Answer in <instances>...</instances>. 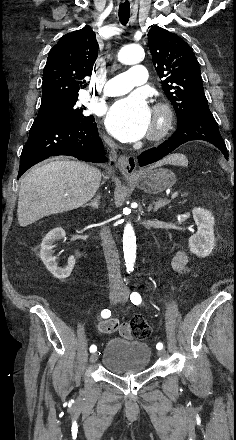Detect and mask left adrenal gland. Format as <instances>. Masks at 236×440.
Instances as JSON below:
<instances>
[{"instance_id":"obj_1","label":"left adrenal gland","mask_w":236,"mask_h":440,"mask_svg":"<svg viewBox=\"0 0 236 440\" xmlns=\"http://www.w3.org/2000/svg\"><path fill=\"white\" fill-rule=\"evenodd\" d=\"M169 203H170V200L157 199V201L154 202V207H153V204H150L149 210H151L153 208V211L156 212L158 209H160L161 207H164L165 205H167Z\"/></svg>"}]
</instances>
